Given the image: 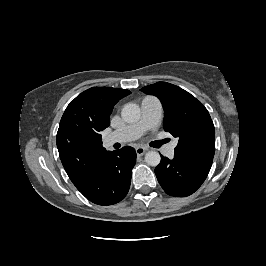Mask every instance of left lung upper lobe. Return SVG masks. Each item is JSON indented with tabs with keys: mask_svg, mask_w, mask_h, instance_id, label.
<instances>
[{
	"mask_svg": "<svg viewBox=\"0 0 266 266\" xmlns=\"http://www.w3.org/2000/svg\"><path fill=\"white\" fill-rule=\"evenodd\" d=\"M155 95L163 105V126L179 141L175 155L213 159L215 130L205 106L184 89L166 82H157L141 89Z\"/></svg>",
	"mask_w": 266,
	"mask_h": 266,
	"instance_id": "obj_1",
	"label": "left lung upper lobe"
}]
</instances>
